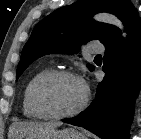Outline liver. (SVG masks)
Segmentation results:
<instances>
[{
    "instance_id": "1",
    "label": "liver",
    "mask_w": 141,
    "mask_h": 139,
    "mask_svg": "<svg viewBox=\"0 0 141 139\" xmlns=\"http://www.w3.org/2000/svg\"><path fill=\"white\" fill-rule=\"evenodd\" d=\"M60 122H18L11 125L9 128V136L15 137L24 135L29 132L41 129H55L60 126Z\"/></svg>"
}]
</instances>
